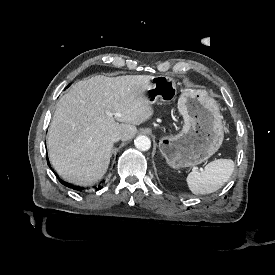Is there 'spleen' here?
I'll return each instance as SVG.
<instances>
[{
    "label": "spleen",
    "instance_id": "obj_1",
    "mask_svg": "<svg viewBox=\"0 0 275 275\" xmlns=\"http://www.w3.org/2000/svg\"><path fill=\"white\" fill-rule=\"evenodd\" d=\"M205 172H191L187 184L195 195L210 194L220 189L231 177L234 162L231 159H217L205 166Z\"/></svg>",
    "mask_w": 275,
    "mask_h": 275
}]
</instances>
